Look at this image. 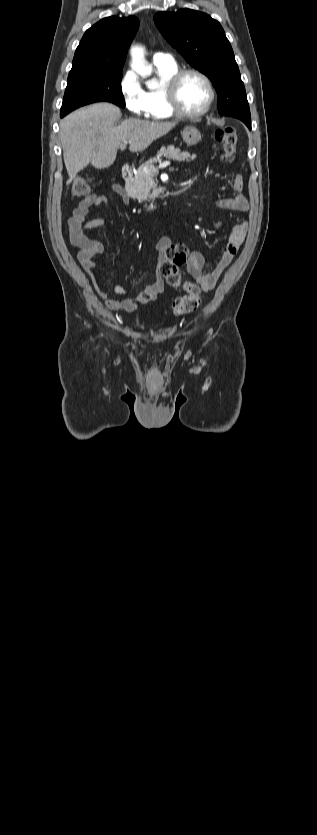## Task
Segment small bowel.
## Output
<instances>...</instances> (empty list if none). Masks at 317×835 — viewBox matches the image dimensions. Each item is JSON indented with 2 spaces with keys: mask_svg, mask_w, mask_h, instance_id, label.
<instances>
[{
  "mask_svg": "<svg viewBox=\"0 0 317 835\" xmlns=\"http://www.w3.org/2000/svg\"><path fill=\"white\" fill-rule=\"evenodd\" d=\"M230 162L235 160L232 155ZM116 192L121 194L125 201L127 197L124 195L122 189L118 186L113 187ZM233 196L227 199L219 200L216 205L223 209H228L238 212H246L249 209V204L246 196L243 193V178L237 174L234 178ZM108 198L105 195H97L95 193L88 194L82 199L74 208L72 216L68 221L69 238L72 244L79 248L78 259L85 270L92 277L95 288L104 300L108 309L112 311L123 310L126 312L132 311L139 303L143 302L142 294L129 296V290L120 285H110L112 290L118 295H125L122 300H113L108 298L103 291L99 279L96 274L95 257L102 254L104 246L101 242L89 238L86 231L96 229L104 226H111V224L104 218L87 219L89 208L92 206H102L107 204ZM246 234V226L244 224H236L232 227L230 236L219 261L216 266L209 272L204 270L209 266L205 262L203 256L199 252H190L185 244L173 242L168 237L159 239L155 245L158 255V263L163 261L181 260V264H185L188 273L197 282L203 292L212 290L224 270L231 264L240 246L242 245ZM165 286V278L159 272L156 275L155 281L147 287V291L153 295L163 292Z\"/></svg>",
  "mask_w": 317,
  "mask_h": 835,
  "instance_id": "obj_1",
  "label": "small bowel"
}]
</instances>
